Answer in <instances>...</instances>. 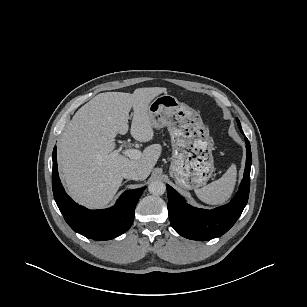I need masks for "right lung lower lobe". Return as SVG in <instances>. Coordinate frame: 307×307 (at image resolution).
<instances>
[{
	"label": "right lung lower lobe",
	"instance_id": "right-lung-lower-lobe-1",
	"mask_svg": "<svg viewBox=\"0 0 307 307\" xmlns=\"http://www.w3.org/2000/svg\"><path fill=\"white\" fill-rule=\"evenodd\" d=\"M52 186L56 204L67 224L77 233L95 240H110L127 231L143 188L125 191L117 203L104 210H89L76 204L64 191L58 176L56 146L53 150Z\"/></svg>",
	"mask_w": 307,
	"mask_h": 307
}]
</instances>
